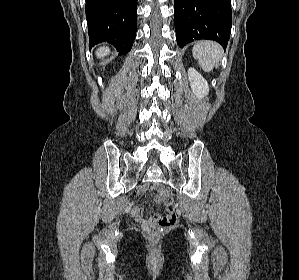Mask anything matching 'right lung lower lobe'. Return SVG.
<instances>
[{
    "instance_id": "right-lung-lower-lobe-1",
    "label": "right lung lower lobe",
    "mask_w": 299,
    "mask_h": 280,
    "mask_svg": "<svg viewBox=\"0 0 299 280\" xmlns=\"http://www.w3.org/2000/svg\"><path fill=\"white\" fill-rule=\"evenodd\" d=\"M90 48L111 43L120 54L131 50L136 35L137 0H86Z\"/></svg>"
}]
</instances>
